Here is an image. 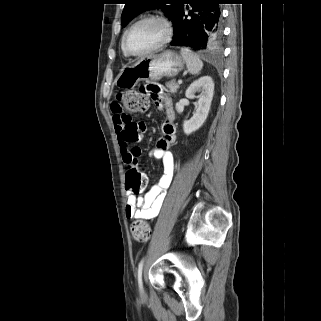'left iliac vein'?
<instances>
[{
	"mask_svg": "<svg viewBox=\"0 0 321 321\" xmlns=\"http://www.w3.org/2000/svg\"><path fill=\"white\" fill-rule=\"evenodd\" d=\"M139 289H140L141 294H143V293H144L143 285H142V287H141V288H139Z\"/></svg>",
	"mask_w": 321,
	"mask_h": 321,
	"instance_id": "4c4485c4",
	"label": "left iliac vein"
}]
</instances>
